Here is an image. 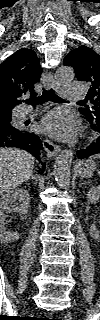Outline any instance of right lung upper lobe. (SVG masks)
Listing matches in <instances>:
<instances>
[{
    "mask_svg": "<svg viewBox=\"0 0 100 320\" xmlns=\"http://www.w3.org/2000/svg\"><path fill=\"white\" fill-rule=\"evenodd\" d=\"M42 69L34 51L22 48L0 65V120L11 118L22 95L35 96L33 86Z\"/></svg>",
    "mask_w": 100,
    "mask_h": 320,
    "instance_id": "obj_1",
    "label": "right lung upper lobe"
}]
</instances>
